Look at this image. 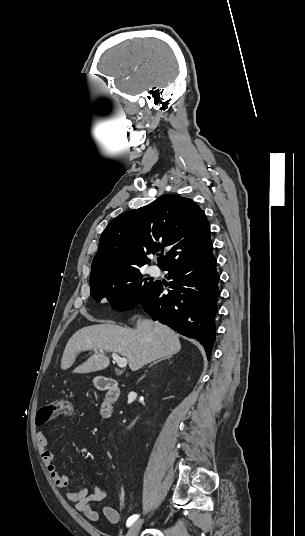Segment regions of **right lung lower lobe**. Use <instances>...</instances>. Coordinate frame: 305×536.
Wrapping results in <instances>:
<instances>
[{
	"mask_svg": "<svg viewBox=\"0 0 305 536\" xmlns=\"http://www.w3.org/2000/svg\"><path fill=\"white\" fill-rule=\"evenodd\" d=\"M212 249L213 244L164 268L169 272V279H173L170 285L173 291L162 294V285L155 282L139 303L154 320L198 340L208 359L215 341L214 319L220 294Z\"/></svg>",
	"mask_w": 305,
	"mask_h": 536,
	"instance_id": "1",
	"label": "right lung lower lobe"
}]
</instances>
